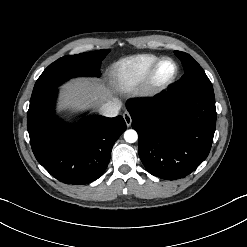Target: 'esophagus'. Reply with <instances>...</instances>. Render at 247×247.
Instances as JSON below:
<instances>
[{
  "instance_id": "esophagus-1",
  "label": "esophagus",
  "mask_w": 247,
  "mask_h": 247,
  "mask_svg": "<svg viewBox=\"0 0 247 247\" xmlns=\"http://www.w3.org/2000/svg\"><path fill=\"white\" fill-rule=\"evenodd\" d=\"M123 118H124V120H125L126 125L129 127V126L131 125V122H132V118H131L130 113L126 111V112L123 114Z\"/></svg>"
}]
</instances>
